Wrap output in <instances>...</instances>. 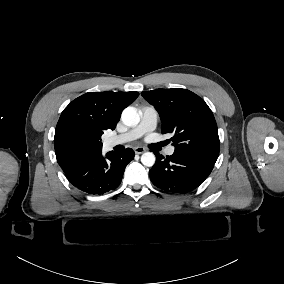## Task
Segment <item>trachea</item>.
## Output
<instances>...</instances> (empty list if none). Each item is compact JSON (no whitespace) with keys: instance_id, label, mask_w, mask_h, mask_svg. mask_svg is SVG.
Instances as JSON below:
<instances>
[{"instance_id":"obj_1","label":"trachea","mask_w":284,"mask_h":284,"mask_svg":"<svg viewBox=\"0 0 284 284\" xmlns=\"http://www.w3.org/2000/svg\"><path fill=\"white\" fill-rule=\"evenodd\" d=\"M167 144H169V140H166V141H164V142H161V143H160V146H159V148H157V150H160L162 146H165V145H167Z\"/></svg>"}]
</instances>
